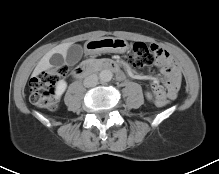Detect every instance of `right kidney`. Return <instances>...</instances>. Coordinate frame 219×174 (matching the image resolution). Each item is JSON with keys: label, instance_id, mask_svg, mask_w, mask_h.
Listing matches in <instances>:
<instances>
[{"label": "right kidney", "instance_id": "1", "mask_svg": "<svg viewBox=\"0 0 219 174\" xmlns=\"http://www.w3.org/2000/svg\"><path fill=\"white\" fill-rule=\"evenodd\" d=\"M67 83L64 80H60L57 82L55 87V97L59 98L66 90Z\"/></svg>", "mask_w": 219, "mask_h": 174}]
</instances>
